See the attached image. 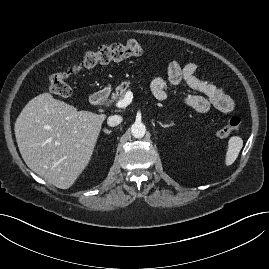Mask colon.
Segmentation results:
<instances>
[{
    "mask_svg": "<svg viewBox=\"0 0 269 269\" xmlns=\"http://www.w3.org/2000/svg\"><path fill=\"white\" fill-rule=\"evenodd\" d=\"M142 51V45L134 40H130L125 44L102 46L98 49L87 51L80 59L73 61L68 67L59 69L51 74L49 90L58 97L69 98L72 95V89L67 83V78L70 74L82 68H91L98 64L121 61L128 57L137 56L140 55ZM240 125L241 119L234 116L216 131V136L225 138L237 132Z\"/></svg>",
    "mask_w": 269,
    "mask_h": 269,
    "instance_id": "1",
    "label": "colon"
}]
</instances>
